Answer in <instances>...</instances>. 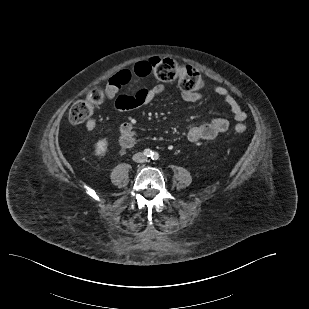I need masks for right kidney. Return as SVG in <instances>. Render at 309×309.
<instances>
[{"label":"right kidney","instance_id":"right-kidney-1","mask_svg":"<svg viewBox=\"0 0 309 309\" xmlns=\"http://www.w3.org/2000/svg\"><path fill=\"white\" fill-rule=\"evenodd\" d=\"M107 150V141L105 139L99 140L95 144V155L98 157H102L105 155Z\"/></svg>","mask_w":309,"mask_h":309}]
</instances>
